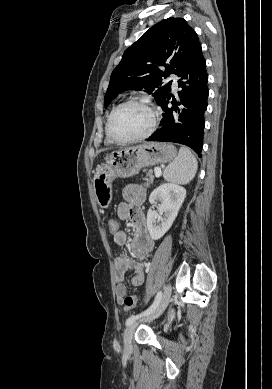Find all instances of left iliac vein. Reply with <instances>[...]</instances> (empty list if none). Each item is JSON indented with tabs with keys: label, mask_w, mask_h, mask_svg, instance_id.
<instances>
[{
	"label": "left iliac vein",
	"mask_w": 272,
	"mask_h": 389,
	"mask_svg": "<svg viewBox=\"0 0 272 389\" xmlns=\"http://www.w3.org/2000/svg\"><path fill=\"white\" fill-rule=\"evenodd\" d=\"M171 292H172V287L170 284H168L163 292V295L161 297L158 306L155 308V310L152 313H150L147 316V318L145 319L146 321H150L155 318H158L164 312V310L166 309L170 301ZM136 326L137 323H132L126 328L124 332L123 340H124V347L126 352H130L132 349V337Z\"/></svg>",
	"instance_id": "4c4485c4"
}]
</instances>
